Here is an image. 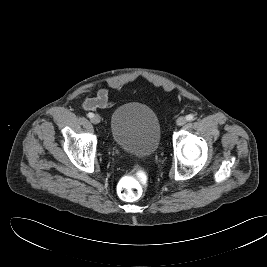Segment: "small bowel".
Segmentation results:
<instances>
[{
  "mask_svg": "<svg viewBox=\"0 0 267 267\" xmlns=\"http://www.w3.org/2000/svg\"><path fill=\"white\" fill-rule=\"evenodd\" d=\"M113 105L114 102L109 99V90L106 87L100 88L94 97H85L82 102V107L86 111L107 109Z\"/></svg>",
  "mask_w": 267,
  "mask_h": 267,
  "instance_id": "small-bowel-1",
  "label": "small bowel"
}]
</instances>
